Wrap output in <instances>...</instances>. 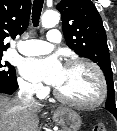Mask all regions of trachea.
<instances>
[{"label": "trachea", "mask_w": 117, "mask_h": 131, "mask_svg": "<svg viewBox=\"0 0 117 131\" xmlns=\"http://www.w3.org/2000/svg\"><path fill=\"white\" fill-rule=\"evenodd\" d=\"M44 0H34L32 8V22L34 27L39 25V19L42 11Z\"/></svg>", "instance_id": "1"}]
</instances>
